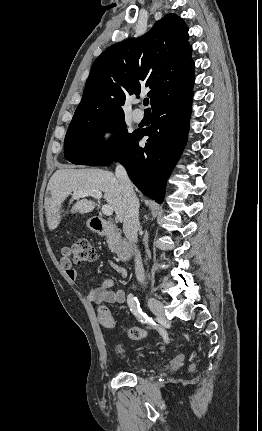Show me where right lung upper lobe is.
Returning <instances> with one entry per match:
<instances>
[{"label":"right lung upper lobe","mask_w":262,"mask_h":431,"mask_svg":"<svg viewBox=\"0 0 262 431\" xmlns=\"http://www.w3.org/2000/svg\"><path fill=\"white\" fill-rule=\"evenodd\" d=\"M182 18L168 14L140 38L107 48L93 63L72 121L124 116L129 95L149 87L152 109L192 90L194 62Z\"/></svg>","instance_id":"right-lung-upper-lobe-1"}]
</instances>
